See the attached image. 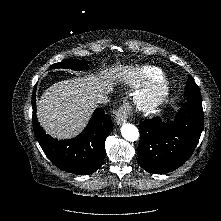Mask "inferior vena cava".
Here are the masks:
<instances>
[{"label": "inferior vena cava", "mask_w": 221, "mask_h": 221, "mask_svg": "<svg viewBox=\"0 0 221 221\" xmlns=\"http://www.w3.org/2000/svg\"><path fill=\"white\" fill-rule=\"evenodd\" d=\"M109 93H100L97 95L96 102L100 105H105L110 101Z\"/></svg>", "instance_id": "1"}]
</instances>
